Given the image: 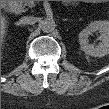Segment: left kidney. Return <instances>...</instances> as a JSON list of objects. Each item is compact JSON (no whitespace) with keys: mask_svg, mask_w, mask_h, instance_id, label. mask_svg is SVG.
I'll list each match as a JSON object with an SVG mask.
<instances>
[{"mask_svg":"<svg viewBox=\"0 0 109 109\" xmlns=\"http://www.w3.org/2000/svg\"><path fill=\"white\" fill-rule=\"evenodd\" d=\"M93 32H99V45L89 44L88 36ZM79 44L81 50L87 55L94 57H103L109 54V23L107 21L91 22L85 29L79 33Z\"/></svg>","mask_w":109,"mask_h":109,"instance_id":"obj_1","label":"left kidney"}]
</instances>
